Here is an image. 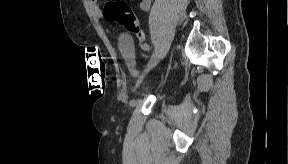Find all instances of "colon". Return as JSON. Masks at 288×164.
Returning <instances> with one entry per match:
<instances>
[{
	"label": "colon",
	"instance_id": "1",
	"mask_svg": "<svg viewBox=\"0 0 288 164\" xmlns=\"http://www.w3.org/2000/svg\"><path fill=\"white\" fill-rule=\"evenodd\" d=\"M104 16L110 22L123 25L138 41H146V34L140 27L136 14L122 0H110L104 8Z\"/></svg>",
	"mask_w": 288,
	"mask_h": 164
}]
</instances>
